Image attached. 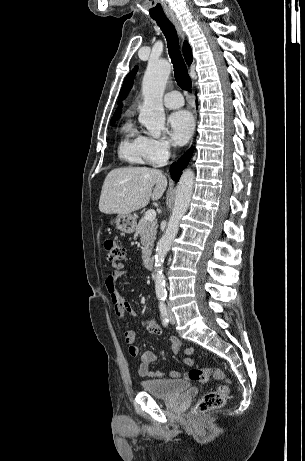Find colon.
Here are the masks:
<instances>
[{
    "label": "colon",
    "instance_id": "colon-1",
    "mask_svg": "<svg viewBox=\"0 0 305 461\" xmlns=\"http://www.w3.org/2000/svg\"><path fill=\"white\" fill-rule=\"evenodd\" d=\"M104 248L106 259L111 265L120 266L126 260V250L119 242L106 240ZM211 377L223 381V384L206 392L196 401L192 408L193 415L221 408L228 397L230 379L222 369L204 367L193 368L188 372V379L193 382H206Z\"/></svg>",
    "mask_w": 305,
    "mask_h": 461
}]
</instances>
